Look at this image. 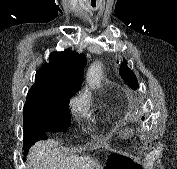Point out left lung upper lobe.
Listing matches in <instances>:
<instances>
[{
    "label": "left lung upper lobe",
    "mask_w": 177,
    "mask_h": 169,
    "mask_svg": "<svg viewBox=\"0 0 177 169\" xmlns=\"http://www.w3.org/2000/svg\"><path fill=\"white\" fill-rule=\"evenodd\" d=\"M121 76L129 86H131L132 88H137L136 85L132 81H130L124 73H121Z\"/></svg>",
    "instance_id": "left-lung-upper-lobe-1"
}]
</instances>
